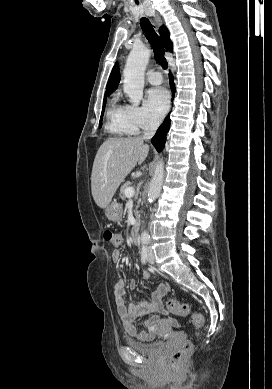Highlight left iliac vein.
Masks as SVG:
<instances>
[{"label":"left iliac vein","mask_w":272,"mask_h":389,"mask_svg":"<svg viewBox=\"0 0 272 389\" xmlns=\"http://www.w3.org/2000/svg\"><path fill=\"white\" fill-rule=\"evenodd\" d=\"M148 262L150 264H153L154 263V253H153V250L152 248H148Z\"/></svg>","instance_id":"1"}]
</instances>
